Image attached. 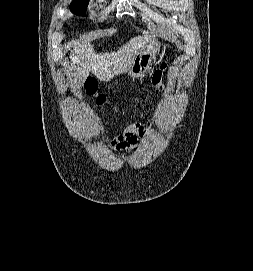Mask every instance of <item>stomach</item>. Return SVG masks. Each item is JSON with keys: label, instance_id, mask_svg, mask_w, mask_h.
<instances>
[{"label": "stomach", "instance_id": "obj_1", "mask_svg": "<svg viewBox=\"0 0 253 271\" xmlns=\"http://www.w3.org/2000/svg\"><path fill=\"white\" fill-rule=\"evenodd\" d=\"M158 48L156 45L146 47L138 53L129 69L132 78L141 77L151 66L156 58Z\"/></svg>", "mask_w": 253, "mask_h": 271}]
</instances>
